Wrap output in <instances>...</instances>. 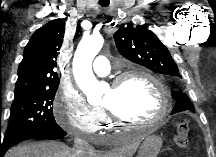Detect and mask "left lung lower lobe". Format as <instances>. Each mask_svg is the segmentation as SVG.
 Masks as SVG:
<instances>
[{
    "mask_svg": "<svg viewBox=\"0 0 216 157\" xmlns=\"http://www.w3.org/2000/svg\"><path fill=\"white\" fill-rule=\"evenodd\" d=\"M185 110H188L187 106L186 105H183V104H175L173 110H172V114L174 113H178V112H181V111H185Z\"/></svg>",
    "mask_w": 216,
    "mask_h": 157,
    "instance_id": "0a47b994",
    "label": "left lung lower lobe"
}]
</instances>
